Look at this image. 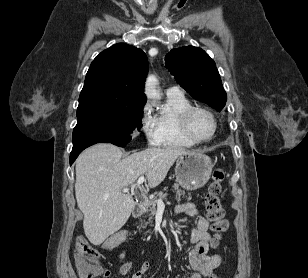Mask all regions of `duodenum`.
<instances>
[{"label": "duodenum", "instance_id": "duodenum-1", "mask_svg": "<svg viewBox=\"0 0 308 278\" xmlns=\"http://www.w3.org/2000/svg\"><path fill=\"white\" fill-rule=\"evenodd\" d=\"M143 211H144V206H143V204H138V205L135 207L134 212H133L134 217H139V216H141L142 213H143Z\"/></svg>", "mask_w": 308, "mask_h": 278}]
</instances>
